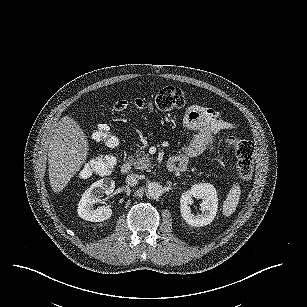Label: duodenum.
Here are the masks:
<instances>
[{
    "instance_id": "duodenum-1",
    "label": "duodenum",
    "mask_w": 307,
    "mask_h": 307,
    "mask_svg": "<svg viewBox=\"0 0 307 307\" xmlns=\"http://www.w3.org/2000/svg\"><path fill=\"white\" fill-rule=\"evenodd\" d=\"M167 168L170 172H179L184 169L183 165L179 164L174 159H170L168 161ZM120 169L123 174H128L132 169L131 162L130 161L123 162Z\"/></svg>"
}]
</instances>
